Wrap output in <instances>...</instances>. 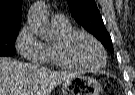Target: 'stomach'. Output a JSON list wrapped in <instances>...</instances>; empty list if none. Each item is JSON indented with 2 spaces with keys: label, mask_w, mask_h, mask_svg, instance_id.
I'll return each mask as SVG.
<instances>
[{
  "label": "stomach",
  "mask_w": 135,
  "mask_h": 95,
  "mask_svg": "<svg viewBox=\"0 0 135 95\" xmlns=\"http://www.w3.org/2000/svg\"><path fill=\"white\" fill-rule=\"evenodd\" d=\"M101 86L97 80L85 75H77L63 83V95H100Z\"/></svg>",
  "instance_id": "stomach-1"
}]
</instances>
